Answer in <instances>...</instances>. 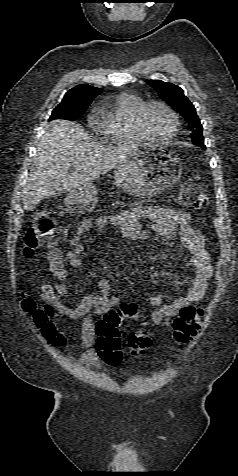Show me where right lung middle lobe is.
<instances>
[{"instance_id": "dd1d6c3e", "label": "right lung middle lobe", "mask_w": 238, "mask_h": 476, "mask_svg": "<svg viewBox=\"0 0 238 476\" xmlns=\"http://www.w3.org/2000/svg\"><path fill=\"white\" fill-rule=\"evenodd\" d=\"M89 105L78 104L69 101H62L53 111L50 117L52 119L74 120L83 115Z\"/></svg>"}]
</instances>
